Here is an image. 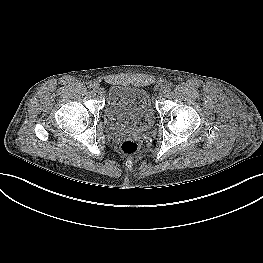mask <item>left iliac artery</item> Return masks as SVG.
<instances>
[{"mask_svg":"<svg viewBox=\"0 0 263 263\" xmlns=\"http://www.w3.org/2000/svg\"><path fill=\"white\" fill-rule=\"evenodd\" d=\"M171 88L169 86L166 87V91L169 92Z\"/></svg>","mask_w":263,"mask_h":263,"instance_id":"1","label":"left iliac artery"}]
</instances>
